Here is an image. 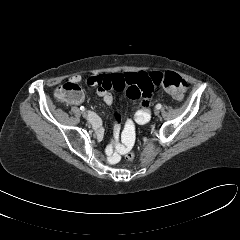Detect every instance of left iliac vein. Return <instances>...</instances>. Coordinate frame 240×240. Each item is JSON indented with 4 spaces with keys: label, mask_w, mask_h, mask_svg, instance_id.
<instances>
[{
    "label": "left iliac vein",
    "mask_w": 240,
    "mask_h": 240,
    "mask_svg": "<svg viewBox=\"0 0 240 240\" xmlns=\"http://www.w3.org/2000/svg\"><path fill=\"white\" fill-rule=\"evenodd\" d=\"M159 113H160V111H159L158 109H156V110L154 111V114H155V115H159Z\"/></svg>",
    "instance_id": "obj_1"
}]
</instances>
